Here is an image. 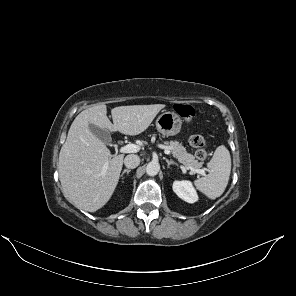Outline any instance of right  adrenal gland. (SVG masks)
<instances>
[{"mask_svg": "<svg viewBox=\"0 0 296 296\" xmlns=\"http://www.w3.org/2000/svg\"><path fill=\"white\" fill-rule=\"evenodd\" d=\"M130 171H131L130 169H124L123 172H122V174H121V177H123V175L125 173L129 174Z\"/></svg>", "mask_w": 296, "mask_h": 296, "instance_id": "2a0ac1e0", "label": "right adrenal gland"}]
</instances>
